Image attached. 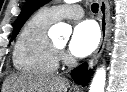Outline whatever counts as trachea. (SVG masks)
<instances>
[{
  "label": "trachea",
  "instance_id": "1",
  "mask_svg": "<svg viewBox=\"0 0 127 92\" xmlns=\"http://www.w3.org/2000/svg\"><path fill=\"white\" fill-rule=\"evenodd\" d=\"M91 10L93 13H97L98 12V4L97 3H93L91 5Z\"/></svg>",
  "mask_w": 127,
  "mask_h": 92
}]
</instances>
